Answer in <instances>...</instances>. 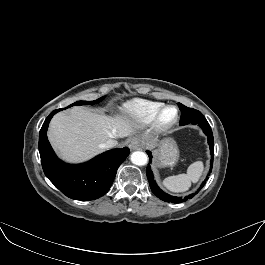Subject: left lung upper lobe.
Here are the masks:
<instances>
[{
	"instance_id": "left-lung-upper-lobe-1",
	"label": "left lung upper lobe",
	"mask_w": 265,
	"mask_h": 265,
	"mask_svg": "<svg viewBox=\"0 0 265 265\" xmlns=\"http://www.w3.org/2000/svg\"><path fill=\"white\" fill-rule=\"evenodd\" d=\"M181 113L180 125H185L195 119L204 117L202 113L196 109L188 108L185 105L178 103Z\"/></svg>"
}]
</instances>
